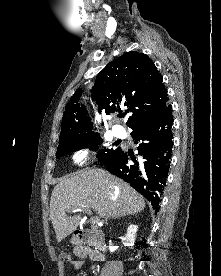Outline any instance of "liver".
<instances>
[{
  "mask_svg": "<svg viewBox=\"0 0 221 276\" xmlns=\"http://www.w3.org/2000/svg\"><path fill=\"white\" fill-rule=\"evenodd\" d=\"M145 208L143 196L123 180L103 169H85L59 182L50 201V219L61 242L75 231L81 214L72 217L73 209L93 210L101 218H118L141 212Z\"/></svg>",
  "mask_w": 221,
  "mask_h": 276,
  "instance_id": "liver-1",
  "label": "liver"
}]
</instances>
